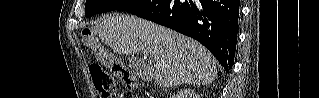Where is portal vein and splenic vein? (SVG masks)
Wrapping results in <instances>:
<instances>
[{
	"mask_svg": "<svg viewBox=\"0 0 319 98\" xmlns=\"http://www.w3.org/2000/svg\"><path fill=\"white\" fill-rule=\"evenodd\" d=\"M143 54H144V56H148V51H146V50H143Z\"/></svg>",
	"mask_w": 319,
	"mask_h": 98,
	"instance_id": "1",
	"label": "portal vein and splenic vein"
}]
</instances>
